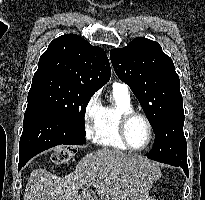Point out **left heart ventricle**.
<instances>
[{
  "label": "left heart ventricle",
  "mask_w": 205,
  "mask_h": 200,
  "mask_svg": "<svg viewBox=\"0 0 205 200\" xmlns=\"http://www.w3.org/2000/svg\"><path fill=\"white\" fill-rule=\"evenodd\" d=\"M127 136L132 146L142 147L145 145L149 136L145 121L140 117L133 118L127 128Z\"/></svg>",
  "instance_id": "left-heart-ventricle-1"
}]
</instances>
